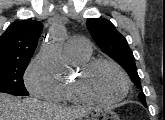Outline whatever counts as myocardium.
I'll return each instance as SVG.
<instances>
[{"mask_svg":"<svg viewBox=\"0 0 165 120\" xmlns=\"http://www.w3.org/2000/svg\"><path fill=\"white\" fill-rule=\"evenodd\" d=\"M100 65H109L116 69L121 75L124 83V90L118 97L112 99H102L95 96L89 89V77L91 73ZM76 93L87 102L100 103L105 105L115 104L122 101L130 90V80L125 70L115 61L106 58H97L84 63L78 70L74 80Z\"/></svg>","mask_w":165,"mask_h":120,"instance_id":"myocardium-1","label":"myocardium"}]
</instances>
